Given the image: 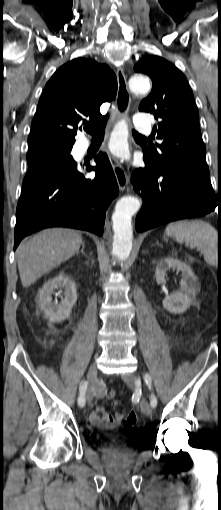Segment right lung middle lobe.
I'll use <instances>...</instances> for the list:
<instances>
[{
  "instance_id": "right-lung-middle-lobe-1",
  "label": "right lung middle lobe",
  "mask_w": 221,
  "mask_h": 510,
  "mask_svg": "<svg viewBox=\"0 0 221 510\" xmlns=\"http://www.w3.org/2000/svg\"><path fill=\"white\" fill-rule=\"evenodd\" d=\"M70 147H43L28 152V171L24 180L45 173H68L77 163L74 161Z\"/></svg>"
}]
</instances>
